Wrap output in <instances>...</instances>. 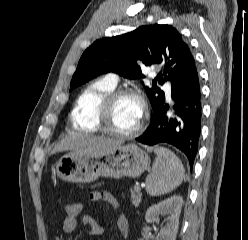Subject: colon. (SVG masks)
<instances>
[{
    "label": "colon",
    "mask_w": 248,
    "mask_h": 240,
    "mask_svg": "<svg viewBox=\"0 0 248 240\" xmlns=\"http://www.w3.org/2000/svg\"><path fill=\"white\" fill-rule=\"evenodd\" d=\"M82 211V203L78 201L68 202L64 206L66 217H77Z\"/></svg>",
    "instance_id": "5ec220e1"
}]
</instances>
